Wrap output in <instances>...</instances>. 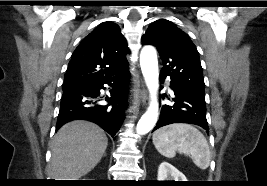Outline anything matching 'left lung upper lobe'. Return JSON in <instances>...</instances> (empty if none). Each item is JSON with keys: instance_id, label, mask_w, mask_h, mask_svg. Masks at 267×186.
<instances>
[{"instance_id": "obj_1", "label": "left lung upper lobe", "mask_w": 267, "mask_h": 186, "mask_svg": "<svg viewBox=\"0 0 267 186\" xmlns=\"http://www.w3.org/2000/svg\"><path fill=\"white\" fill-rule=\"evenodd\" d=\"M142 42L157 48L163 62L160 74L205 94L199 53L191 39L174 23L165 19L153 22Z\"/></svg>"}]
</instances>
